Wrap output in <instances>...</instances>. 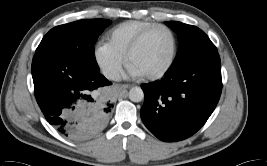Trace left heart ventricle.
I'll use <instances>...</instances> for the list:
<instances>
[{
  "label": "left heart ventricle",
  "mask_w": 267,
  "mask_h": 166,
  "mask_svg": "<svg viewBox=\"0 0 267 166\" xmlns=\"http://www.w3.org/2000/svg\"><path fill=\"white\" fill-rule=\"evenodd\" d=\"M171 52V38L165 31L151 34L135 52L133 64L145 73H153L162 68Z\"/></svg>",
  "instance_id": "obj_1"
}]
</instances>
